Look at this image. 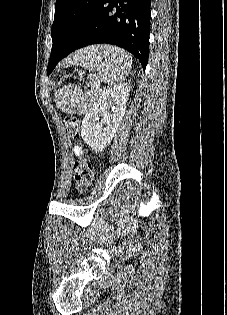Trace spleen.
Masks as SVG:
<instances>
[{
  "mask_svg": "<svg viewBox=\"0 0 227 315\" xmlns=\"http://www.w3.org/2000/svg\"><path fill=\"white\" fill-rule=\"evenodd\" d=\"M130 56L122 49L112 46H92L74 52L65 59V65L82 66L97 71V77L109 85L122 82L131 69ZM98 82H92V90L82 93L77 87H63L56 91L55 101L68 113H87L101 95Z\"/></svg>",
  "mask_w": 227,
  "mask_h": 315,
  "instance_id": "3e777b00",
  "label": "spleen"
}]
</instances>
